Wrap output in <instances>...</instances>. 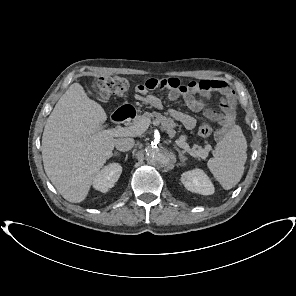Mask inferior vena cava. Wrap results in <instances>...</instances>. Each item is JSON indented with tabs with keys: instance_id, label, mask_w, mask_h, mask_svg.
<instances>
[{
	"instance_id": "602c4592",
	"label": "inferior vena cava",
	"mask_w": 296,
	"mask_h": 296,
	"mask_svg": "<svg viewBox=\"0 0 296 296\" xmlns=\"http://www.w3.org/2000/svg\"><path fill=\"white\" fill-rule=\"evenodd\" d=\"M134 146V140L132 138H119L115 143L117 150L121 152L129 151Z\"/></svg>"
}]
</instances>
